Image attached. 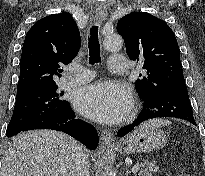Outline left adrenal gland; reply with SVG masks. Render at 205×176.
Masks as SVG:
<instances>
[{"mask_svg":"<svg viewBox=\"0 0 205 176\" xmlns=\"http://www.w3.org/2000/svg\"><path fill=\"white\" fill-rule=\"evenodd\" d=\"M126 176H128V171L126 170Z\"/></svg>","mask_w":205,"mask_h":176,"instance_id":"left-adrenal-gland-1","label":"left adrenal gland"}]
</instances>
